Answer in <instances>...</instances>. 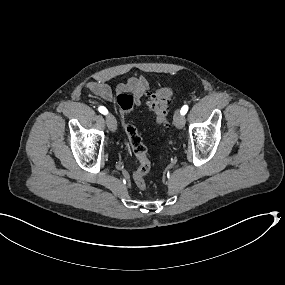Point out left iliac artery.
<instances>
[{
  "mask_svg": "<svg viewBox=\"0 0 285 285\" xmlns=\"http://www.w3.org/2000/svg\"><path fill=\"white\" fill-rule=\"evenodd\" d=\"M187 111H188V106H187V105H184V106L181 108L180 113H181L182 115H185V114L187 113Z\"/></svg>",
  "mask_w": 285,
  "mask_h": 285,
  "instance_id": "left-iliac-artery-1",
  "label": "left iliac artery"
}]
</instances>
